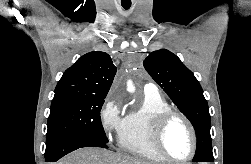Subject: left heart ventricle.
I'll list each match as a JSON object with an SVG mask.
<instances>
[{
    "instance_id": "obj_1",
    "label": "left heart ventricle",
    "mask_w": 251,
    "mask_h": 164,
    "mask_svg": "<svg viewBox=\"0 0 251 164\" xmlns=\"http://www.w3.org/2000/svg\"><path fill=\"white\" fill-rule=\"evenodd\" d=\"M164 146L174 158H184L190 154L192 148L191 135L181 119L174 118L170 122L165 132Z\"/></svg>"
}]
</instances>
